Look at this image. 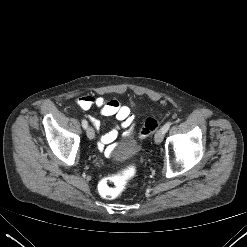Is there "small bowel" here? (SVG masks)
<instances>
[{"mask_svg": "<svg viewBox=\"0 0 247 247\" xmlns=\"http://www.w3.org/2000/svg\"><path fill=\"white\" fill-rule=\"evenodd\" d=\"M75 103L81 110L87 111L91 108H96L98 109L99 114L103 117H115L121 122L122 127H128L133 122V116L130 109L114 99H105L102 96L87 95L77 99ZM88 119L97 130L100 129L101 121L97 117L89 115ZM118 131L119 127H115L99 137L98 148L100 151H104L106 154L111 153L113 148H106V146L117 138ZM127 134L128 133H125V135Z\"/></svg>", "mask_w": 247, "mask_h": 247, "instance_id": "small-bowel-1", "label": "small bowel"}]
</instances>
